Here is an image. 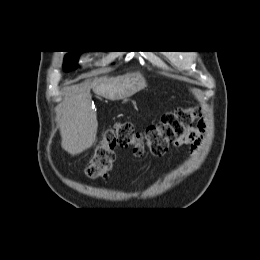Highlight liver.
Returning <instances> with one entry per match:
<instances>
[{
	"instance_id": "liver-1",
	"label": "liver",
	"mask_w": 260,
	"mask_h": 260,
	"mask_svg": "<svg viewBox=\"0 0 260 260\" xmlns=\"http://www.w3.org/2000/svg\"><path fill=\"white\" fill-rule=\"evenodd\" d=\"M117 79L107 76L98 78L92 84L93 91L113 100L111 87ZM97 128V116L92 108L90 93L66 95L62 103L60 127L62 148L73 156L82 153L95 143Z\"/></svg>"
}]
</instances>
